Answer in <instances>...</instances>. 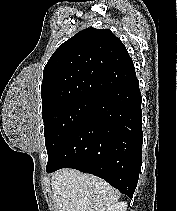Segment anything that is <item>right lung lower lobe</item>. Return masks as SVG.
Instances as JSON below:
<instances>
[{"instance_id":"1","label":"right lung lower lobe","mask_w":178,"mask_h":211,"mask_svg":"<svg viewBox=\"0 0 178 211\" xmlns=\"http://www.w3.org/2000/svg\"><path fill=\"white\" fill-rule=\"evenodd\" d=\"M141 101L137 77L100 97L48 157L46 171L87 172L132 198L142 164Z\"/></svg>"}]
</instances>
